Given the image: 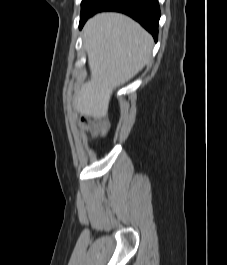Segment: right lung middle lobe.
Masks as SVG:
<instances>
[{
	"instance_id": "obj_1",
	"label": "right lung middle lobe",
	"mask_w": 227,
	"mask_h": 265,
	"mask_svg": "<svg viewBox=\"0 0 227 265\" xmlns=\"http://www.w3.org/2000/svg\"><path fill=\"white\" fill-rule=\"evenodd\" d=\"M104 0H82L80 22L90 17Z\"/></svg>"
}]
</instances>
